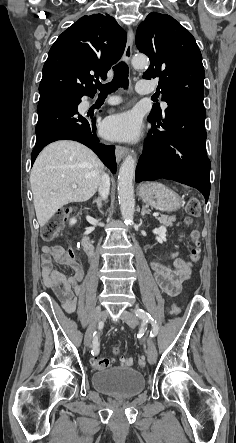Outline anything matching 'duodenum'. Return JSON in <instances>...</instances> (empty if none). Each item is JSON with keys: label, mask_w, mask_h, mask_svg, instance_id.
<instances>
[{"label": "duodenum", "mask_w": 236, "mask_h": 443, "mask_svg": "<svg viewBox=\"0 0 236 443\" xmlns=\"http://www.w3.org/2000/svg\"><path fill=\"white\" fill-rule=\"evenodd\" d=\"M86 214L87 215H91L92 214V210L91 209H87L86 210ZM82 244H83L87 254L91 255V253H92V236L90 234L84 235V237L82 239Z\"/></svg>", "instance_id": "410a0bca"}]
</instances>
